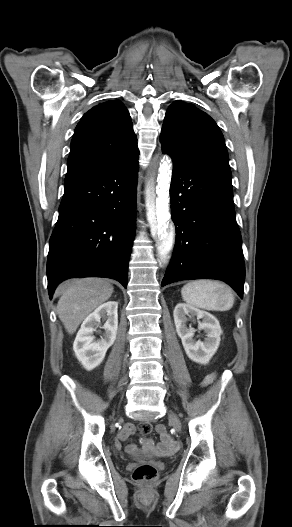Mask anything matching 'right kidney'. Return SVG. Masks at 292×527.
Segmentation results:
<instances>
[{"label": "right kidney", "mask_w": 292, "mask_h": 527, "mask_svg": "<svg viewBox=\"0 0 292 527\" xmlns=\"http://www.w3.org/2000/svg\"><path fill=\"white\" fill-rule=\"evenodd\" d=\"M118 303L109 301L100 305L81 325L73 344L77 359L87 370H92L101 364L108 348L114 343L118 329ZM106 320L103 325L105 332L100 340H96L93 332L100 320Z\"/></svg>", "instance_id": "1"}]
</instances>
